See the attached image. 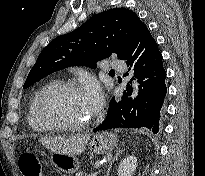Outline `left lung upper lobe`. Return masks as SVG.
Masks as SVG:
<instances>
[{"label": "left lung upper lobe", "instance_id": "obj_1", "mask_svg": "<svg viewBox=\"0 0 205 176\" xmlns=\"http://www.w3.org/2000/svg\"><path fill=\"white\" fill-rule=\"evenodd\" d=\"M143 25L139 17L126 8L94 15L76 30L56 37L41 51L23 87L70 66L96 68L97 61L112 53L121 59Z\"/></svg>", "mask_w": 205, "mask_h": 176}]
</instances>
